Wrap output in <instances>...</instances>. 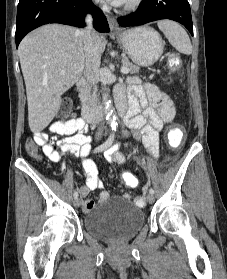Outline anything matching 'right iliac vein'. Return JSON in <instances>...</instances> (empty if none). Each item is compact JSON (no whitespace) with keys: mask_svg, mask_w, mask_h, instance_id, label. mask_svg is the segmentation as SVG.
I'll return each instance as SVG.
<instances>
[{"mask_svg":"<svg viewBox=\"0 0 227 279\" xmlns=\"http://www.w3.org/2000/svg\"><path fill=\"white\" fill-rule=\"evenodd\" d=\"M73 204L75 207H79L81 205V200L76 198V199H74Z\"/></svg>","mask_w":227,"mask_h":279,"instance_id":"63e3f726","label":"right iliac vein"}]
</instances>
